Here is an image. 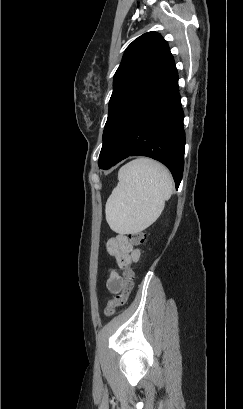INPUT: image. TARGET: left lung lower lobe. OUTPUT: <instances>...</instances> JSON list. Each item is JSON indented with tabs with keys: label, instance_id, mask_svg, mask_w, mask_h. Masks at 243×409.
<instances>
[{
	"label": "left lung lower lobe",
	"instance_id": "0a47b994",
	"mask_svg": "<svg viewBox=\"0 0 243 409\" xmlns=\"http://www.w3.org/2000/svg\"><path fill=\"white\" fill-rule=\"evenodd\" d=\"M178 74L169 58L146 84L121 119L116 133L114 159L108 169L129 156H147L163 163L176 188L183 175L185 132Z\"/></svg>",
	"mask_w": 243,
	"mask_h": 409
}]
</instances>
